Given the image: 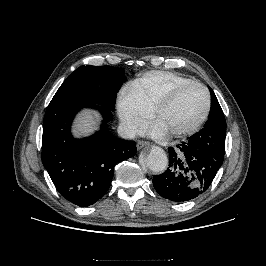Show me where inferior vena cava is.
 Returning <instances> with one entry per match:
<instances>
[{"mask_svg": "<svg viewBox=\"0 0 266 266\" xmlns=\"http://www.w3.org/2000/svg\"><path fill=\"white\" fill-rule=\"evenodd\" d=\"M139 132V128L133 124L123 122L118 126L119 135L125 139H133Z\"/></svg>", "mask_w": 266, "mask_h": 266, "instance_id": "602c4592", "label": "inferior vena cava"}]
</instances>
